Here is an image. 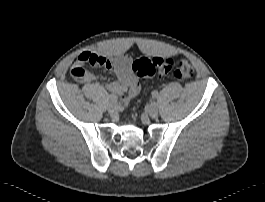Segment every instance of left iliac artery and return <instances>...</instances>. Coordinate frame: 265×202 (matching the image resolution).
Segmentation results:
<instances>
[{"label": "left iliac artery", "instance_id": "obj_1", "mask_svg": "<svg viewBox=\"0 0 265 202\" xmlns=\"http://www.w3.org/2000/svg\"><path fill=\"white\" fill-rule=\"evenodd\" d=\"M158 96V93L156 91L152 92V97L156 98Z\"/></svg>", "mask_w": 265, "mask_h": 202}]
</instances>
